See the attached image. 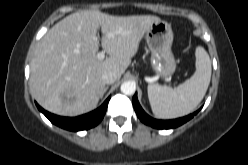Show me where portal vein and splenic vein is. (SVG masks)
I'll use <instances>...</instances> for the list:
<instances>
[{
    "label": "portal vein and splenic vein",
    "mask_w": 248,
    "mask_h": 165,
    "mask_svg": "<svg viewBox=\"0 0 248 165\" xmlns=\"http://www.w3.org/2000/svg\"><path fill=\"white\" fill-rule=\"evenodd\" d=\"M108 36L109 37H112L113 34L112 33H109ZM97 57H98V59L103 60L105 58V53L103 51L102 52H99V53H97Z\"/></svg>",
    "instance_id": "portal-vein-and-splenic-vein-1"
}]
</instances>
